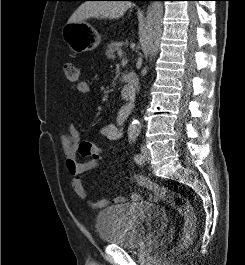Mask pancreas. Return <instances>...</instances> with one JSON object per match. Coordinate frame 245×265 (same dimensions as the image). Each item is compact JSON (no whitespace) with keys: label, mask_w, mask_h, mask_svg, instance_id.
Instances as JSON below:
<instances>
[{"label":"pancreas","mask_w":245,"mask_h":265,"mask_svg":"<svg viewBox=\"0 0 245 265\" xmlns=\"http://www.w3.org/2000/svg\"><path fill=\"white\" fill-rule=\"evenodd\" d=\"M121 50V45L118 42L112 41L108 44L105 55L108 59H115V52Z\"/></svg>","instance_id":"pancreas-1"}]
</instances>
